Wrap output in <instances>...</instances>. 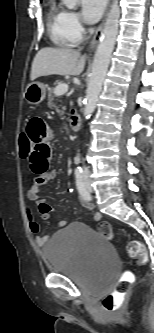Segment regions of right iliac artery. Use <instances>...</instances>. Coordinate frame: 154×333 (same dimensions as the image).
<instances>
[{"instance_id": "obj_1", "label": "right iliac artery", "mask_w": 154, "mask_h": 333, "mask_svg": "<svg viewBox=\"0 0 154 333\" xmlns=\"http://www.w3.org/2000/svg\"><path fill=\"white\" fill-rule=\"evenodd\" d=\"M75 178H76V186L79 194L87 201L91 200V195L87 191L84 182H83V170L81 168H77L75 170Z\"/></svg>"}]
</instances>
